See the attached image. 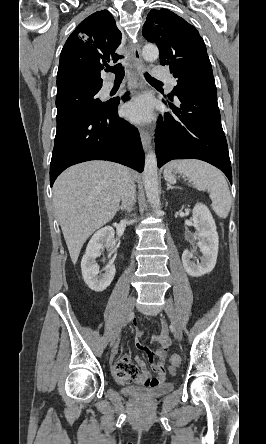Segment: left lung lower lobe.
<instances>
[{
    "mask_svg": "<svg viewBox=\"0 0 266 444\" xmlns=\"http://www.w3.org/2000/svg\"><path fill=\"white\" fill-rule=\"evenodd\" d=\"M178 99L179 108L168 103L176 117L164 113L155 134L158 167L173 159H200L219 168L232 183L217 94L182 95Z\"/></svg>",
    "mask_w": 266,
    "mask_h": 444,
    "instance_id": "obj_1",
    "label": "left lung lower lobe"
}]
</instances>
